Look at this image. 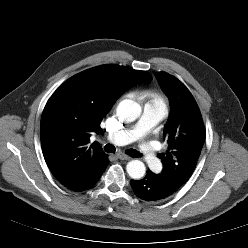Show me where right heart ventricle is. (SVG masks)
Returning <instances> with one entry per match:
<instances>
[{"mask_svg":"<svg viewBox=\"0 0 248 248\" xmlns=\"http://www.w3.org/2000/svg\"><path fill=\"white\" fill-rule=\"evenodd\" d=\"M141 96L148 101L147 104L159 105L166 108V102L164 98L157 92L146 91L143 92Z\"/></svg>","mask_w":248,"mask_h":248,"instance_id":"1","label":"right heart ventricle"}]
</instances>
